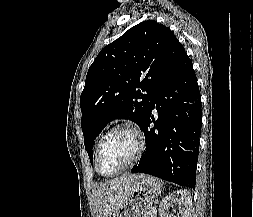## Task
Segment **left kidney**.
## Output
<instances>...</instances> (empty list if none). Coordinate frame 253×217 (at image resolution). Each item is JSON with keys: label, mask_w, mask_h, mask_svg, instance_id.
Listing matches in <instances>:
<instances>
[{"label": "left kidney", "mask_w": 253, "mask_h": 217, "mask_svg": "<svg viewBox=\"0 0 253 217\" xmlns=\"http://www.w3.org/2000/svg\"><path fill=\"white\" fill-rule=\"evenodd\" d=\"M172 205L178 206L177 217H188V207L192 205L190 193L187 190H176L164 198L160 204V217H176L170 215L169 208Z\"/></svg>", "instance_id": "left-kidney-1"}]
</instances>
